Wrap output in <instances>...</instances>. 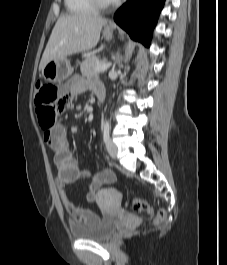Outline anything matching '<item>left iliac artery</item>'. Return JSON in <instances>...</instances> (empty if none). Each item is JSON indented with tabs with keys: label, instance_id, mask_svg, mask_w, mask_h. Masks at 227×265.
Instances as JSON below:
<instances>
[{
	"label": "left iliac artery",
	"instance_id": "44dca946",
	"mask_svg": "<svg viewBox=\"0 0 227 265\" xmlns=\"http://www.w3.org/2000/svg\"><path fill=\"white\" fill-rule=\"evenodd\" d=\"M109 134H110V126L108 122L104 123V130H103V137L104 141L107 142L109 139Z\"/></svg>",
	"mask_w": 227,
	"mask_h": 265
}]
</instances>
